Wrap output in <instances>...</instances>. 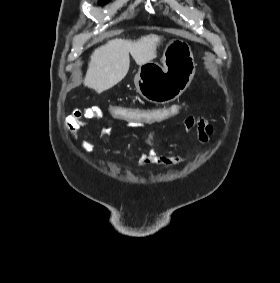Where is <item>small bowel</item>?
<instances>
[{
  "instance_id": "1",
  "label": "small bowel",
  "mask_w": 280,
  "mask_h": 283,
  "mask_svg": "<svg viewBox=\"0 0 280 283\" xmlns=\"http://www.w3.org/2000/svg\"><path fill=\"white\" fill-rule=\"evenodd\" d=\"M182 107V106H180ZM104 113L100 108L92 107L84 111L74 112L68 116L66 120L67 128L73 139L77 137V130L81 127L87 126L93 122L100 120ZM168 120V119H167ZM128 127H143L142 123L139 122H125ZM158 123V122H156ZM186 131L192 130L195 126L198 129V138L201 145H205L213 132V127L204 118L195 119L193 116H187L182 122ZM111 126H104L98 133L96 138H105L111 134ZM94 140L90 139L85 141L83 144V151L86 155L92 154L94 150ZM147 140L150 144H153V133L149 132L147 135ZM185 160L176 155L173 151L152 147L147 152L141 154L138 165L140 168H145L151 165H157L163 168H172L177 165L184 163Z\"/></svg>"
}]
</instances>
